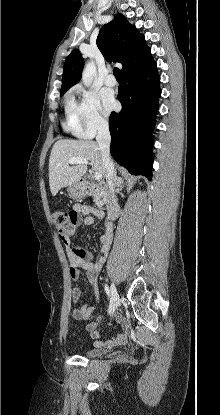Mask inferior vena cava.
I'll use <instances>...</instances> for the list:
<instances>
[{"instance_id":"602c4592","label":"inferior vena cava","mask_w":220,"mask_h":415,"mask_svg":"<svg viewBox=\"0 0 220 415\" xmlns=\"http://www.w3.org/2000/svg\"><path fill=\"white\" fill-rule=\"evenodd\" d=\"M110 132L107 122H100L96 141L102 153V163L105 170V178L109 186L108 194V217L112 218V211L115 206V171L114 164L110 158Z\"/></svg>"}]
</instances>
